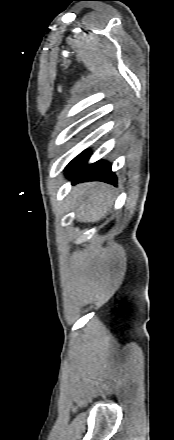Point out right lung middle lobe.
Returning <instances> with one entry per match:
<instances>
[{"instance_id": "right-lung-middle-lobe-1", "label": "right lung middle lobe", "mask_w": 174, "mask_h": 440, "mask_svg": "<svg viewBox=\"0 0 174 440\" xmlns=\"http://www.w3.org/2000/svg\"><path fill=\"white\" fill-rule=\"evenodd\" d=\"M84 154H85V152L80 154L78 157H76L74 160H72L69 163V165L66 167L65 171L68 176L76 170V168L78 167L79 163L81 162V159L83 158Z\"/></svg>"}]
</instances>
